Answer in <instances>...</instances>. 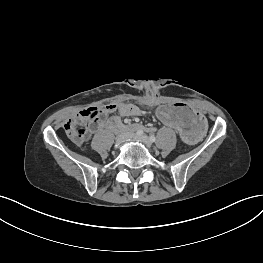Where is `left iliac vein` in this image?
I'll return each mask as SVG.
<instances>
[{"mask_svg":"<svg viewBox=\"0 0 263 263\" xmlns=\"http://www.w3.org/2000/svg\"><path fill=\"white\" fill-rule=\"evenodd\" d=\"M134 138L136 140L142 142L147 147H151V145H152L150 139L146 135H136Z\"/></svg>","mask_w":263,"mask_h":263,"instance_id":"1","label":"left iliac vein"}]
</instances>
